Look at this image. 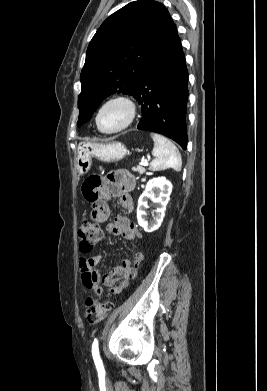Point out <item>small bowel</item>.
Instances as JSON below:
<instances>
[{"label": "small bowel", "instance_id": "small-bowel-1", "mask_svg": "<svg viewBox=\"0 0 267 391\" xmlns=\"http://www.w3.org/2000/svg\"><path fill=\"white\" fill-rule=\"evenodd\" d=\"M135 186V177L126 170H116L104 178L98 176L88 178L83 184L82 191L84 198L91 206V221L95 223L107 221L111 213L109 201L112 198H117L124 210L132 212L134 202L130 192L134 190ZM108 231L112 235L122 236L129 241L138 240L142 237L137 226L125 216L115 217L108 225ZM143 258L142 252H136L132 261L124 259L119 265L101 276L96 267L101 262L102 256L96 254L90 257H82L79 260L82 283L86 289L97 293L102 291L101 283L111 293H120L135 278Z\"/></svg>", "mask_w": 267, "mask_h": 391}]
</instances>
